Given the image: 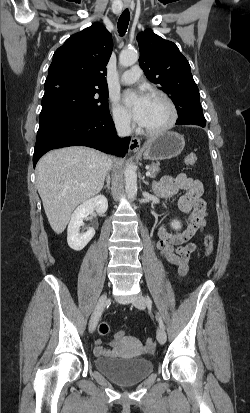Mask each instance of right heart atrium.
<instances>
[{"mask_svg":"<svg viewBox=\"0 0 250 413\" xmlns=\"http://www.w3.org/2000/svg\"><path fill=\"white\" fill-rule=\"evenodd\" d=\"M112 119L120 131L128 132L132 129V121L128 113L115 101L112 100Z\"/></svg>","mask_w":250,"mask_h":413,"instance_id":"1","label":"right heart atrium"}]
</instances>
